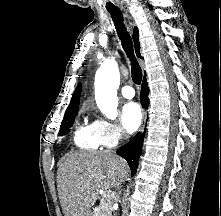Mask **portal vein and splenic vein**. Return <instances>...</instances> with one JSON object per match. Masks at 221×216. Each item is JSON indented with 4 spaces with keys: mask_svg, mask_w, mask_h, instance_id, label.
<instances>
[{
    "mask_svg": "<svg viewBox=\"0 0 221 216\" xmlns=\"http://www.w3.org/2000/svg\"><path fill=\"white\" fill-rule=\"evenodd\" d=\"M103 197L110 200V198L114 197V192H112L111 190L105 191Z\"/></svg>",
    "mask_w": 221,
    "mask_h": 216,
    "instance_id": "18ae733b",
    "label": "portal vein and splenic vein"
}]
</instances>
